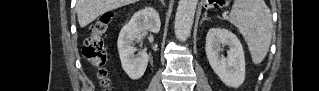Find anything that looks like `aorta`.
Listing matches in <instances>:
<instances>
[{"label":"aorta","instance_id":"1","mask_svg":"<svg viewBox=\"0 0 319 91\" xmlns=\"http://www.w3.org/2000/svg\"><path fill=\"white\" fill-rule=\"evenodd\" d=\"M198 0H179L174 21L175 36L186 41L190 35Z\"/></svg>","mask_w":319,"mask_h":91}]
</instances>
